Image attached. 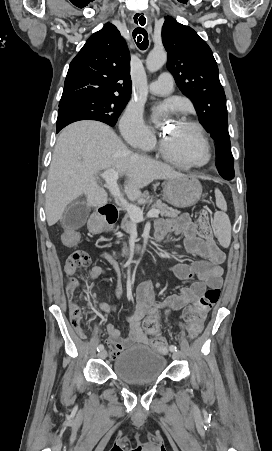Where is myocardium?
Wrapping results in <instances>:
<instances>
[{
    "label": "myocardium",
    "mask_w": 272,
    "mask_h": 451,
    "mask_svg": "<svg viewBox=\"0 0 272 451\" xmlns=\"http://www.w3.org/2000/svg\"><path fill=\"white\" fill-rule=\"evenodd\" d=\"M178 122H180V123L184 124L185 126L191 128L195 132V134L197 136V139H198V141L200 143L202 152H203V159L201 161H199V162H191V161L186 162V164L188 165V168H190V169L204 168L205 166H207L210 163V161L212 159V153H211V149H210V145L208 143V140H207V138L204 135L203 129L201 128V126L198 123H196L194 121H191V120H188V119H185V118H180L178 120ZM161 151L166 156L170 155V148L168 146L166 138H163L161 140ZM170 158H171V161H173L174 163H179V162L182 161L181 158L175 153H173L172 156H170Z\"/></svg>",
    "instance_id": "myocardium-1"
}]
</instances>
